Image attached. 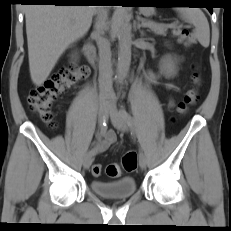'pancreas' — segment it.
I'll return each instance as SVG.
<instances>
[{"mask_svg":"<svg viewBox=\"0 0 231 231\" xmlns=\"http://www.w3.org/2000/svg\"><path fill=\"white\" fill-rule=\"evenodd\" d=\"M148 28L158 35H166L168 27L164 24H158L152 21H146Z\"/></svg>","mask_w":231,"mask_h":231,"instance_id":"obj_1","label":"pancreas"}]
</instances>
